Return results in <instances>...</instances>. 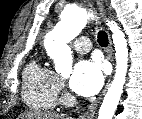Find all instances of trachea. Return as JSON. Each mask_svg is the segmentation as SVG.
Returning a JSON list of instances; mask_svg holds the SVG:
<instances>
[{
	"mask_svg": "<svg viewBox=\"0 0 142 119\" xmlns=\"http://www.w3.org/2000/svg\"><path fill=\"white\" fill-rule=\"evenodd\" d=\"M98 43L102 47H106L108 45V36L105 31L98 32Z\"/></svg>",
	"mask_w": 142,
	"mask_h": 119,
	"instance_id": "1",
	"label": "trachea"
}]
</instances>
